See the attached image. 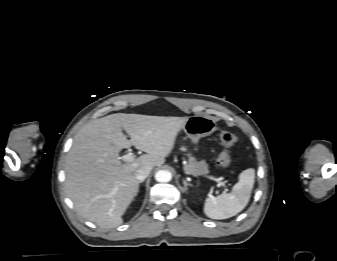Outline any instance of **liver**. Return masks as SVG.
<instances>
[{
  "instance_id": "obj_1",
  "label": "liver",
  "mask_w": 337,
  "mask_h": 261,
  "mask_svg": "<svg viewBox=\"0 0 337 261\" xmlns=\"http://www.w3.org/2000/svg\"><path fill=\"white\" fill-rule=\"evenodd\" d=\"M188 119L115 113L83 126L64 168L65 189L78 214L102 228L121 225L137 194L136 171L162 165ZM131 146L147 154L123 164L119 153Z\"/></svg>"
}]
</instances>
